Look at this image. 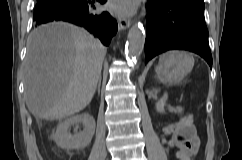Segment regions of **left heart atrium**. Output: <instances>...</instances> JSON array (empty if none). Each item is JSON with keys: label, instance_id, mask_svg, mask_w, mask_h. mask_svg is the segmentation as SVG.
<instances>
[{"label": "left heart atrium", "instance_id": "obj_1", "mask_svg": "<svg viewBox=\"0 0 242 160\" xmlns=\"http://www.w3.org/2000/svg\"><path fill=\"white\" fill-rule=\"evenodd\" d=\"M137 6V0H111L110 10L119 15L132 14Z\"/></svg>", "mask_w": 242, "mask_h": 160}]
</instances>
